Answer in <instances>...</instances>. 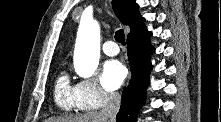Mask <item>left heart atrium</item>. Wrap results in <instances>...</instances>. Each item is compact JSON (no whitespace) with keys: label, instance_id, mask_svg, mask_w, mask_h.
<instances>
[{"label":"left heart atrium","instance_id":"left-heart-atrium-1","mask_svg":"<svg viewBox=\"0 0 221 122\" xmlns=\"http://www.w3.org/2000/svg\"><path fill=\"white\" fill-rule=\"evenodd\" d=\"M126 75L127 70L121 62L110 60L103 66L101 82L106 89L115 90L122 84Z\"/></svg>","mask_w":221,"mask_h":122}]
</instances>
